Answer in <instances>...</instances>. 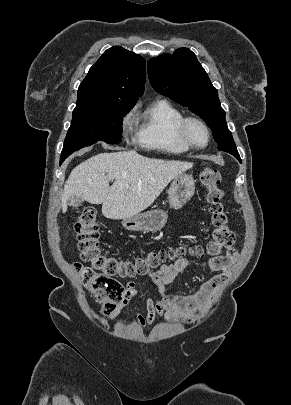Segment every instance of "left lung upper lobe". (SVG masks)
<instances>
[{
	"instance_id": "1",
	"label": "left lung upper lobe",
	"mask_w": 291,
	"mask_h": 405,
	"mask_svg": "<svg viewBox=\"0 0 291 405\" xmlns=\"http://www.w3.org/2000/svg\"><path fill=\"white\" fill-rule=\"evenodd\" d=\"M147 66L152 87L199 115L211 128L218 149L240 160L217 89L195 54L187 48H179L173 54L150 59Z\"/></svg>"
}]
</instances>
